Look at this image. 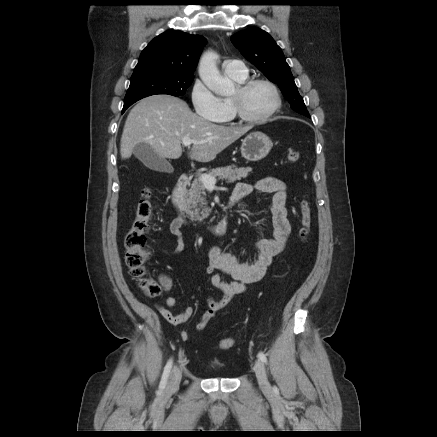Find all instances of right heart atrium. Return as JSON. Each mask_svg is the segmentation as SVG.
Returning a JSON list of instances; mask_svg holds the SVG:
<instances>
[{
    "label": "right heart atrium",
    "mask_w": 437,
    "mask_h": 437,
    "mask_svg": "<svg viewBox=\"0 0 437 437\" xmlns=\"http://www.w3.org/2000/svg\"><path fill=\"white\" fill-rule=\"evenodd\" d=\"M190 98L195 113L203 119L220 121L225 114L222 99L216 96L200 79L195 80Z\"/></svg>",
    "instance_id": "obj_1"
}]
</instances>
